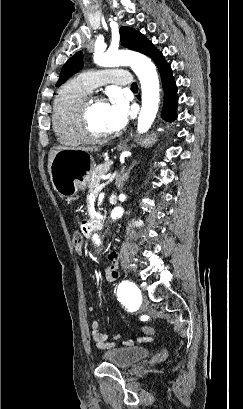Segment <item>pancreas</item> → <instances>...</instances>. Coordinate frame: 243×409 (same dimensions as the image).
Instances as JSON below:
<instances>
[{"label":"pancreas","mask_w":243,"mask_h":409,"mask_svg":"<svg viewBox=\"0 0 243 409\" xmlns=\"http://www.w3.org/2000/svg\"><path fill=\"white\" fill-rule=\"evenodd\" d=\"M110 165V162L100 164L91 172L87 184L89 194H93L95 187L100 184V175L107 173L110 169Z\"/></svg>","instance_id":"pancreas-1"}]
</instances>
